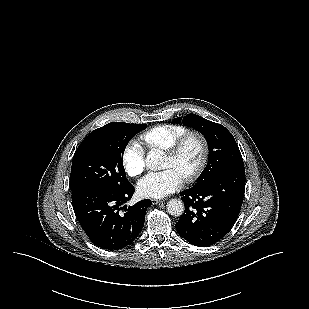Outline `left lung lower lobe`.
I'll return each instance as SVG.
<instances>
[{"mask_svg": "<svg viewBox=\"0 0 309 309\" xmlns=\"http://www.w3.org/2000/svg\"><path fill=\"white\" fill-rule=\"evenodd\" d=\"M245 169L223 170L180 192L185 211L175 227L195 246H210L231 230L241 210Z\"/></svg>", "mask_w": 309, "mask_h": 309, "instance_id": "obj_1", "label": "left lung lower lobe"}]
</instances>
